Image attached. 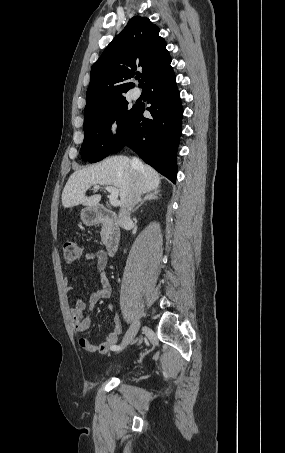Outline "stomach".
<instances>
[{
	"mask_svg": "<svg viewBox=\"0 0 285 453\" xmlns=\"http://www.w3.org/2000/svg\"><path fill=\"white\" fill-rule=\"evenodd\" d=\"M80 216L83 223L88 226L94 225L98 220L97 211L92 207L84 208Z\"/></svg>",
	"mask_w": 285,
	"mask_h": 453,
	"instance_id": "0dacf381",
	"label": "stomach"
}]
</instances>
